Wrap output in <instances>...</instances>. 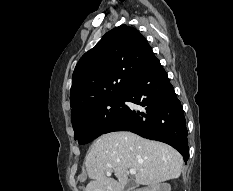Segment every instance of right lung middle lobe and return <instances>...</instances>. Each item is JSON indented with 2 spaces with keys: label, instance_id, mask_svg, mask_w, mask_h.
I'll use <instances>...</instances> for the list:
<instances>
[{
  "label": "right lung middle lobe",
  "instance_id": "dd1d6c3e",
  "mask_svg": "<svg viewBox=\"0 0 233 191\" xmlns=\"http://www.w3.org/2000/svg\"><path fill=\"white\" fill-rule=\"evenodd\" d=\"M126 96L100 103L72 118L74 138L79 144H86L98 136L119 119L128 109Z\"/></svg>",
  "mask_w": 233,
  "mask_h": 191
}]
</instances>
